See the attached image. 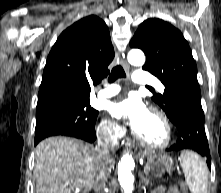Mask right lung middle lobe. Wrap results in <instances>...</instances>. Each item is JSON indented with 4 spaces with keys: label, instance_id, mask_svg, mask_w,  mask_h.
Listing matches in <instances>:
<instances>
[{
    "label": "right lung middle lobe",
    "instance_id": "obj_1",
    "mask_svg": "<svg viewBox=\"0 0 221 193\" xmlns=\"http://www.w3.org/2000/svg\"><path fill=\"white\" fill-rule=\"evenodd\" d=\"M98 111L85 101H57L37 105L35 139L67 132L95 133Z\"/></svg>",
    "mask_w": 221,
    "mask_h": 193
}]
</instances>
